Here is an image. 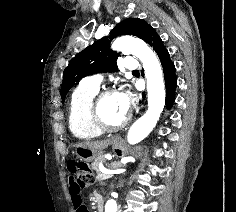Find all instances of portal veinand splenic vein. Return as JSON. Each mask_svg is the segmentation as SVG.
Here are the masks:
<instances>
[{
  "label": "portal vein and splenic vein",
  "instance_id": "obj_1",
  "mask_svg": "<svg viewBox=\"0 0 236 212\" xmlns=\"http://www.w3.org/2000/svg\"><path fill=\"white\" fill-rule=\"evenodd\" d=\"M102 174H101V179H107L110 176H112L113 174L117 173V170H107V169H102L101 170Z\"/></svg>",
  "mask_w": 236,
  "mask_h": 212
}]
</instances>
